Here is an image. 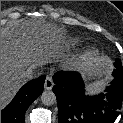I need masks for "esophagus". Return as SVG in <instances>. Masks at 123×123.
Returning <instances> with one entry per match:
<instances>
[{"mask_svg": "<svg viewBox=\"0 0 123 123\" xmlns=\"http://www.w3.org/2000/svg\"><path fill=\"white\" fill-rule=\"evenodd\" d=\"M53 85H54V83H53L52 77L47 76L45 79V82H44V88L46 90H51Z\"/></svg>", "mask_w": 123, "mask_h": 123, "instance_id": "1", "label": "esophagus"}]
</instances>
